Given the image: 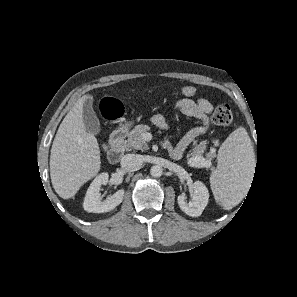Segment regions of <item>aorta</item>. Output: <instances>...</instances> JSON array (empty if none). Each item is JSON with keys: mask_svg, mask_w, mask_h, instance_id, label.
Wrapping results in <instances>:
<instances>
[{"mask_svg": "<svg viewBox=\"0 0 297 297\" xmlns=\"http://www.w3.org/2000/svg\"><path fill=\"white\" fill-rule=\"evenodd\" d=\"M150 174L153 177H160L163 174V168L160 165H154L150 169Z\"/></svg>", "mask_w": 297, "mask_h": 297, "instance_id": "obj_1", "label": "aorta"}]
</instances>
